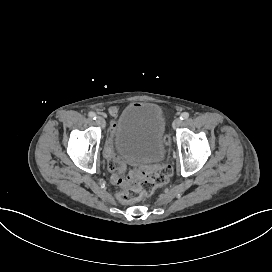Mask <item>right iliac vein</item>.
I'll return each instance as SVG.
<instances>
[{"label":"right iliac vein","mask_w":272,"mask_h":272,"mask_svg":"<svg viewBox=\"0 0 272 272\" xmlns=\"http://www.w3.org/2000/svg\"><path fill=\"white\" fill-rule=\"evenodd\" d=\"M97 124L102 126V127H105V120L102 118V117H97Z\"/></svg>","instance_id":"1"}]
</instances>
